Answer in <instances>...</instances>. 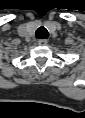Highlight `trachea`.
Masks as SVG:
<instances>
[{"label": "trachea", "mask_w": 85, "mask_h": 118, "mask_svg": "<svg viewBox=\"0 0 85 118\" xmlns=\"http://www.w3.org/2000/svg\"><path fill=\"white\" fill-rule=\"evenodd\" d=\"M48 36H49V33L45 27L42 26L36 30V37L38 39H46L48 38Z\"/></svg>", "instance_id": "obj_1"}]
</instances>
